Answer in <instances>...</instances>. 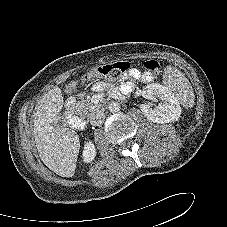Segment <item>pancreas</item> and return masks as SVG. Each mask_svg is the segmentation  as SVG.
Instances as JSON below:
<instances>
[{
	"instance_id": "obj_1",
	"label": "pancreas",
	"mask_w": 227,
	"mask_h": 227,
	"mask_svg": "<svg viewBox=\"0 0 227 227\" xmlns=\"http://www.w3.org/2000/svg\"><path fill=\"white\" fill-rule=\"evenodd\" d=\"M76 106L81 112H83L85 114L93 112L97 108V105L93 104L89 100L79 101L76 103Z\"/></svg>"
}]
</instances>
